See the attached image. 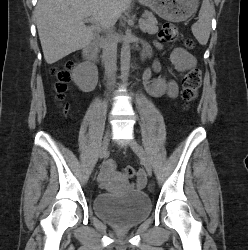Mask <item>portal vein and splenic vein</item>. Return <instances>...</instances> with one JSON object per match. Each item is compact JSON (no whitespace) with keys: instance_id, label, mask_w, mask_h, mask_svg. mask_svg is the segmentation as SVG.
Listing matches in <instances>:
<instances>
[{"instance_id":"portal-vein-and-splenic-vein-1","label":"portal vein and splenic vein","mask_w":248,"mask_h":250,"mask_svg":"<svg viewBox=\"0 0 248 250\" xmlns=\"http://www.w3.org/2000/svg\"><path fill=\"white\" fill-rule=\"evenodd\" d=\"M88 21H93L92 18H87ZM143 23V19H139V24Z\"/></svg>"}]
</instances>
